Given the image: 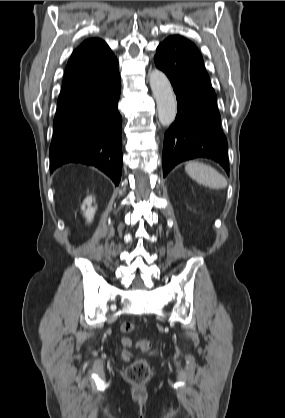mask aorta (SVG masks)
Here are the masks:
<instances>
[{"instance_id":"762f6f07","label":"aorta","mask_w":285,"mask_h":418,"mask_svg":"<svg viewBox=\"0 0 285 418\" xmlns=\"http://www.w3.org/2000/svg\"><path fill=\"white\" fill-rule=\"evenodd\" d=\"M149 81L157 103L159 122L162 126H170L177 113L176 97L170 81L162 71L157 69L150 73Z\"/></svg>"}]
</instances>
